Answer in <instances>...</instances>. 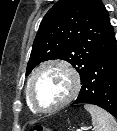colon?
Returning <instances> with one entry per match:
<instances>
[{"label":"colon","mask_w":117,"mask_h":131,"mask_svg":"<svg viewBox=\"0 0 117 131\" xmlns=\"http://www.w3.org/2000/svg\"><path fill=\"white\" fill-rule=\"evenodd\" d=\"M29 131H58V130L50 129L42 125H36L33 128H31Z\"/></svg>","instance_id":"5ec220e1"}]
</instances>
